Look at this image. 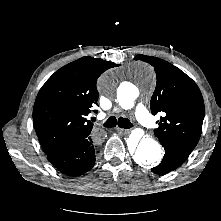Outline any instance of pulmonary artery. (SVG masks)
Wrapping results in <instances>:
<instances>
[{
  "mask_svg": "<svg viewBox=\"0 0 221 221\" xmlns=\"http://www.w3.org/2000/svg\"><path fill=\"white\" fill-rule=\"evenodd\" d=\"M133 110L136 118L142 125L150 129H154L157 126L156 120L142 104L135 105Z\"/></svg>",
  "mask_w": 221,
  "mask_h": 221,
  "instance_id": "pulmonary-artery-1",
  "label": "pulmonary artery"
}]
</instances>
